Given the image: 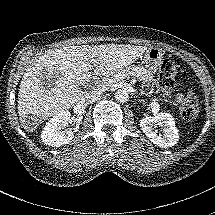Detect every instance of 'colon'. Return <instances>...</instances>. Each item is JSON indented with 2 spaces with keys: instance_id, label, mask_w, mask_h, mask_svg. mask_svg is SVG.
<instances>
[{
  "instance_id": "5ec220e1",
  "label": "colon",
  "mask_w": 215,
  "mask_h": 215,
  "mask_svg": "<svg viewBox=\"0 0 215 215\" xmlns=\"http://www.w3.org/2000/svg\"><path fill=\"white\" fill-rule=\"evenodd\" d=\"M176 73V62L173 59H165L157 75L158 87L164 97L167 98L184 117H196L198 112L196 99L191 95L185 96L174 90Z\"/></svg>"
}]
</instances>
